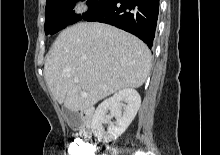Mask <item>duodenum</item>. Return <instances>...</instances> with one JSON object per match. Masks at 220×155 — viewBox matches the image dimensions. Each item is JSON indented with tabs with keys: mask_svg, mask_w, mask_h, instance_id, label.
Listing matches in <instances>:
<instances>
[{
	"mask_svg": "<svg viewBox=\"0 0 220 155\" xmlns=\"http://www.w3.org/2000/svg\"><path fill=\"white\" fill-rule=\"evenodd\" d=\"M94 114V110L92 108H86L81 111V128H80V136L83 139H87L91 136V122Z\"/></svg>",
	"mask_w": 220,
	"mask_h": 155,
	"instance_id": "obj_1",
	"label": "duodenum"
}]
</instances>
